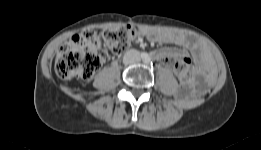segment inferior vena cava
<instances>
[{
  "mask_svg": "<svg viewBox=\"0 0 261 150\" xmlns=\"http://www.w3.org/2000/svg\"><path fill=\"white\" fill-rule=\"evenodd\" d=\"M140 61V53L135 49L127 51L123 57V62L125 64H135Z\"/></svg>",
  "mask_w": 261,
  "mask_h": 150,
  "instance_id": "1",
  "label": "inferior vena cava"
}]
</instances>
